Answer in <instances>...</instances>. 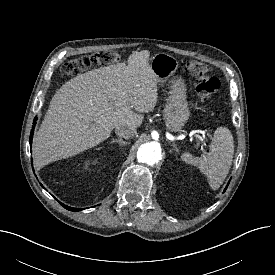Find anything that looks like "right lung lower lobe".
Instances as JSON below:
<instances>
[{
    "mask_svg": "<svg viewBox=\"0 0 275 275\" xmlns=\"http://www.w3.org/2000/svg\"><path fill=\"white\" fill-rule=\"evenodd\" d=\"M36 120L37 119H34V125L36 124ZM34 134V128L31 130V135H30V140H29V143L31 145L32 143V135ZM64 208L70 210V211H80V210H83L82 208H73V207H69V206H66L64 205L63 203H60Z\"/></svg>",
    "mask_w": 275,
    "mask_h": 275,
    "instance_id": "98d812e1",
    "label": "right lung lower lobe"
}]
</instances>
